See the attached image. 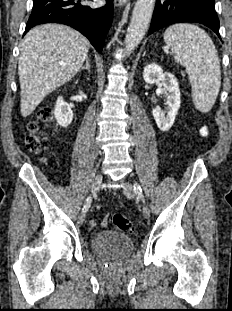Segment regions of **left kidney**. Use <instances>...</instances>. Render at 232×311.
Segmentation results:
<instances>
[{"instance_id": "5707ae66", "label": "left kidney", "mask_w": 232, "mask_h": 311, "mask_svg": "<svg viewBox=\"0 0 232 311\" xmlns=\"http://www.w3.org/2000/svg\"><path fill=\"white\" fill-rule=\"evenodd\" d=\"M143 79L148 84L161 82L164 87L167 97V114L164 115L159 107L154 108L152 114L158 128L166 132L172 127L180 108L181 101L178 81L173 74L164 73L162 68L155 63H150L144 68Z\"/></svg>"}]
</instances>
